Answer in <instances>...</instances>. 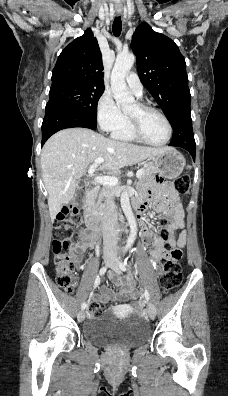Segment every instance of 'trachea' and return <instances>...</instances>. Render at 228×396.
Returning a JSON list of instances; mask_svg holds the SVG:
<instances>
[{"label": "trachea", "instance_id": "trachea-1", "mask_svg": "<svg viewBox=\"0 0 228 396\" xmlns=\"http://www.w3.org/2000/svg\"><path fill=\"white\" fill-rule=\"evenodd\" d=\"M121 29H122V22L120 17H115L114 22H113V34L118 37L121 34Z\"/></svg>", "mask_w": 228, "mask_h": 396}]
</instances>
